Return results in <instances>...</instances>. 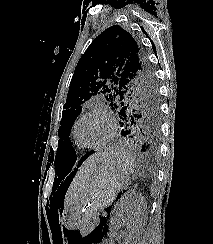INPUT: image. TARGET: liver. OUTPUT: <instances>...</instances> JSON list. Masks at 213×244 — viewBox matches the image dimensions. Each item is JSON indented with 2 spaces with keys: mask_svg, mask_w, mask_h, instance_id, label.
Segmentation results:
<instances>
[{
  "mask_svg": "<svg viewBox=\"0 0 213 244\" xmlns=\"http://www.w3.org/2000/svg\"><path fill=\"white\" fill-rule=\"evenodd\" d=\"M107 157V153H95L90 158H88L83 165L78 169L77 174L74 177L72 184L68 190L65 198V207H67L71 200L73 199L77 189L85 182L86 178L92 173L96 168L97 164Z\"/></svg>",
  "mask_w": 213,
  "mask_h": 244,
  "instance_id": "6515ba94",
  "label": "liver"
}]
</instances>
